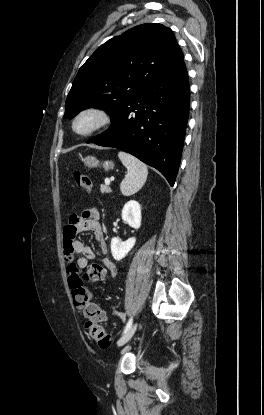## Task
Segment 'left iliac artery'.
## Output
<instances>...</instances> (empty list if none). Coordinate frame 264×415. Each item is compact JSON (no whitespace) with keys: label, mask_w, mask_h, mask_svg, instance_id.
<instances>
[{"label":"left iliac artery","mask_w":264,"mask_h":415,"mask_svg":"<svg viewBox=\"0 0 264 415\" xmlns=\"http://www.w3.org/2000/svg\"><path fill=\"white\" fill-rule=\"evenodd\" d=\"M132 318H130L126 324V327L124 329V333L127 332L129 330V328L132 326Z\"/></svg>","instance_id":"left-iliac-artery-1"}]
</instances>
